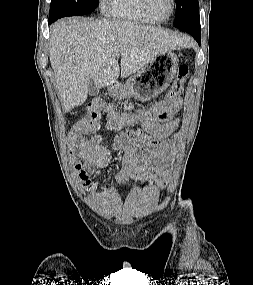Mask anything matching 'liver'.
Here are the masks:
<instances>
[{"label":"liver","mask_w":253,"mask_h":285,"mask_svg":"<svg viewBox=\"0 0 253 285\" xmlns=\"http://www.w3.org/2000/svg\"><path fill=\"white\" fill-rule=\"evenodd\" d=\"M50 34V63L64 112L86 101L91 79L103 88L115 83L120 73L126 78L159 53L189 43L184 36L160 27L106 19H61Z\"/></svg>","instance_id":"1"}]
</instances>
